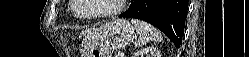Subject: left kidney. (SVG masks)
<instances>
[{
  "instance_id": "left-kidney-1",
  "label": "left kidney",
  "mask_w": 249,
  "mask_h": 57,
  "mask_svg": "<svg viewBox=\"0 0 249 57\" xmlns=\"http://www.w3.org/2000/svg\"><path fill=\"white\" fill-rule=\"evenodd\" d=\"M132 57H161V53L155 47H147L136 51Z\"/></svg>"
}]
</instances>
